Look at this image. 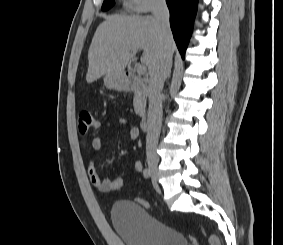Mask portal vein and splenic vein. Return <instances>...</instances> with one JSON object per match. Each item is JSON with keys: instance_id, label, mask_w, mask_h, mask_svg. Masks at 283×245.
I'll return each mask as SVG.
<instances>
[{"instance_id": "1", "label": "portal vein and splenic vein", "mask_w": 283, "mask_h": 245, "mask_svg": "<svg viewBox=\"0 0 283 245\" xmlns=\"http://www.w3.org/2000/svg\"><path fill=\"white\" fill-rule=\"evenodd\" d=\"M136 70H137V73L138 74H145L146 73V71H147V67H146V65L145 64H139V65H137L136 66Z\"/></svg>"}]
</instances>
